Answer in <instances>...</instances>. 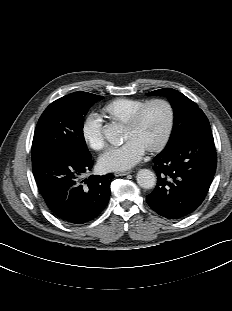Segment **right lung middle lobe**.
<instances>
[{"label": "right lung middle lobe", "instance_id": "dd1d6c3e", "mask_svg": "<svg viewBox=\"0 0 232 311\" xmlns=\"http://www.w3.org/2000/svg\"><path fill=\"white\" fill-rule=\"evenodd\" d=\"M101 99L102 96L78 92L51 103L37 123L32 142V158L58 152L78 159H91L83 136L84 116Z\"/></svg>", "mask_w": 232, "mask_h": 311}]
</instances>
